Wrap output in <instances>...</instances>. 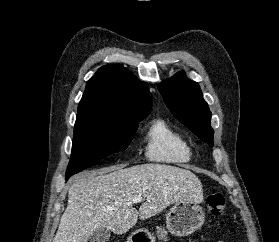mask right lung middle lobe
<instances>
[{
    "instance_id": "1",
    "label": "right lung middle lobe",
    "mask_w": 279,
    "mask_h": 242,
    "mask_svg": "<svg viewBox=\"0 0 279 242\" xmlns=\"http://www.w3.org/2000/svg\"><path fill=\"white\" fill-rule=\"evenodd\" d=\"M137 128L138 122L77 117L66 179L112 153L125 150Z\"/></svg>"
}]
</instances>
